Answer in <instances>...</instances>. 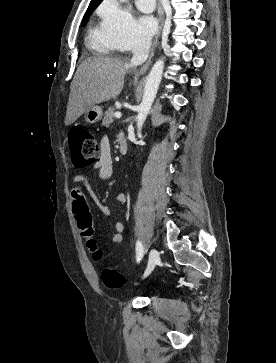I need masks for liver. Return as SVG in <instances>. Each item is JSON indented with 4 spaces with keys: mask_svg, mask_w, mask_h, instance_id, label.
I'll use <instances>...</instances> for the list:
<instances>
[{
    "mask_svg": "<svg viewBox=\"0 0 276 363\" xmlns=\"http://www.w3.org/2000/svg\"><path fill=\"white\" fill-rule=\"evenodd\" d=\"M131 67L126 60L113 57L82 61L70 86L65 125L74 123L89 107L116 98Z\"/></svg>",
    "mask_w": 276,
    "mask_h": 363,
    "instance_id": "1",
    "label": "liver"
}]
</instances>
